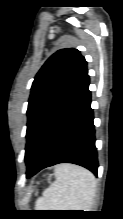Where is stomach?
Returning <instances> with one entry per match:
<instances>
[{"label":"stomach","mask_w":123,"mask_h":219,"mask_svg":"<svg viewBox=\"0 0 123 219\" xmlns=\"http://www.w3.org/2000/svg\"><path fill=\"white\" fill-rule=\"evenodd\" d=\"M50 179H51V177L49 176V177H48V181H50Z\"/></svg>","instance_id":"1"}]
</instances>
